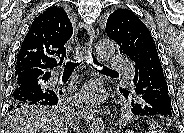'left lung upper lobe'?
Masks as SVG:
<instances>
[{
  "instance_id": "5c2ea615",
  "label": "left lung upper lobe",
  "mask_w": 184,
  "mask_h": 133,
  "mask_svg": "<svg viewBox=\"0 0 184 133\" xmlns=\"http://www.w3.org/2000/svg\"><path fill=\"white\" fill-rule=\"evenodd\" d=\"M106 33L108 37L118 44L120 53L126 54L135 63V76L133 79L135 86L139 79L138 68L142 60L153 55V52L157 53L155 41L150 31L131 10L119 8L109 15ZM121 90L126 89L121 88ZM128 97L131 98L132 103V97Z\"/></svg>"
}]
</instances>
